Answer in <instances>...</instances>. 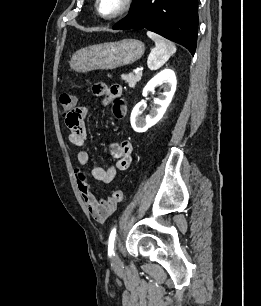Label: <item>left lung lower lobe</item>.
Segmentation results:
<instances>
[{
	"label": "left lung lower lobe",
	"mask_w": 261,
	"mask_h": 306,
	"mask_svg": "<svg viewBox=\"0 0 261 306\" xmlns=\"http://www.w3.org/2000/svg\"><path fill=\"white\" fill-rule=\"evenodd\" d=\"M198 0H138L112 29H148L195 53Z\"/></svg>",
	"instance_id": "left-lung-lower-lobe-1"
}]
</instances>
